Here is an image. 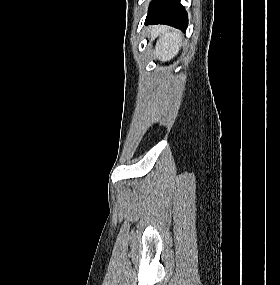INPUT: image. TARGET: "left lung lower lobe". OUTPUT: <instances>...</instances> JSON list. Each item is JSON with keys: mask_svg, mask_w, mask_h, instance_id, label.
I'll use <instances>...</instances> for the list:
<instances>
[{"mask_svg": "<svg viewBox=\"0 0 280 285\" xmlns=\"http://www.w3.org/2000/svg\"><path fill=\"white\" fill-rule=\"evenodd\" d=\"M145 24H167L185 32L188 17L180 0H153Z\"/></svg>", "mask_w": 280, "mask_h": 285, "instance_id": "obj_1", "label": "left lung lower lobe"}]
</instances>
